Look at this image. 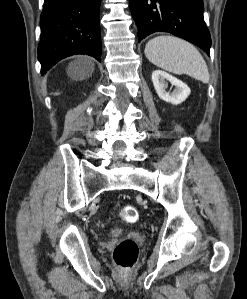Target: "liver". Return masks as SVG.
<instances>
[{
  "label": "liver",
  "mask_w": 247,
  "mask_h": 299,
  "mask_svg": "<svg viewBox=\"0 0 247 299\" xmlns=\"http://www.w3.org/2000/svg\"><path fill=\"white\" fill-rule=\"evenodd\" d=\"M94 70L92 59L80 57L72 62L68 67V74L74 79H83L89 77Z\"/></svg>",
  "instance_id": "obj_1"
}]
</instances>
